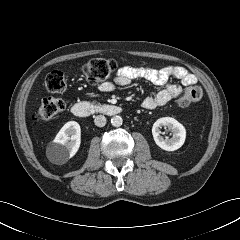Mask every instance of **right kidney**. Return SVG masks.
Listing matches in <instances>:
<instances>
[{
    "instance_id": "1",
    "label": "right kidney",
    "mask_w": 240,
    "mask_h": 240,
    "mask_svg": "<svg viewBox=\"0 0 240 240\" xmlns=\"http://www.w3.org/2000/svg\"><path fill=\"white\" fill-rule=\"evenodd\" d=\"M81 143V128L76 121L67 122L57 133L47 152L55 164H64L78 151Z\"/></svg>"
}]
</instances>
